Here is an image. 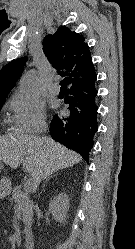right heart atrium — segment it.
<instances>
[{
    "label": "right heart atrium",
    "mask_w": 135,
    "mask_h": 249,
    "mask_svg": "<svg viewBox=\"0 0 135 249\" xmlns=\"http://www.w3.org/2000/svg\"><path fill=\"white\" fill-rule=\"evenodd\" d=\"M12 111L11 123L17 134H36L44 130L45 113L43 106L14 95L9 102Z\"/></svg>",
    "instance_id": "obj_1"
}]
</instances>
